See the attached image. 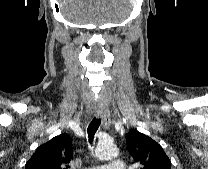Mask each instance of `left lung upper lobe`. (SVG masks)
<instances>
[{
	"label": "left lung upper lobe",
	"instance_id": "left-lung-upper-lobe-1",
	"mask_svg": "<svg viewBox=\"0 0 208 169\" xmlns=\"http://www.w3.org/2000/svg\"><path fill=\"white\" fill-rule=\"evenodd\" d=\"M126 144L140 169H171V161L162 147L149 136L133 129L126 135Z\"/></svg>",
	"mask_w": 208,
	"mask_h": 169
}]
</instances>
